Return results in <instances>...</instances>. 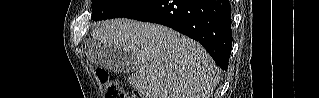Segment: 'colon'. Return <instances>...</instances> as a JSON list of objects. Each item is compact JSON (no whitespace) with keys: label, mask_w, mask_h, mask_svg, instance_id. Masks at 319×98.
Instances as JSON below:
<instances>
[{"label":"colon","mask_w":319,"mask_h":98,"mask_svg":"<svg viewBox=\"0 0 319 98\" xmlns=\"http://www.w3.org/2000/svg\"><path fill=\"white\" fill-rule=\"evenodd\" d=\"M97 78L103 85L104 97L105 98H138L139 95H134L132 97L128 96L119 83L113 79L109 74L103 70L98 69L96 71Z\"/></svg>","instance_id":"colon-1"}]
</instances>
